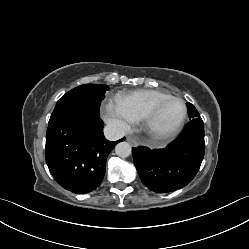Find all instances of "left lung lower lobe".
Here are the masks:
<instances>
[{"label":"left lung lower lobe","mask_w":249,"mask_h":249,"mask_svg":"<svg viewBox=\"0 0 249 249\" xmlns=\"http://www.w3.org/2000/svg\"><path fill=\"white\" fill-rule=\"evenodd\" d=\"M204 152V123L201 119L191 120L181 136L164 149H132L141 181L157 193L186 186L198 172Z\"/></svg>","instance_id":"obj_1"}]
</instances>
